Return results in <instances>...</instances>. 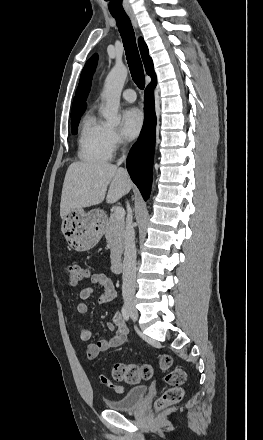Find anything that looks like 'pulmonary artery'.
<instances>
[{
  "mask_svg": "<svg viewBox=\"0 0 263 440\" xmlns=\"http://www.w3.org/2000/svg\"><path fill=\"white\" fill-rule=\"evenodd\" d=\"M122 98L128 102H134L136 100V93L133 89H125L122 92Z\"/></svg>",
  "mask_w": 263,
  "mask_h": 440,
  "instance_id": "pulmonary-artery-1",
  "label": "pulmonary artery"
}]
</instances>
